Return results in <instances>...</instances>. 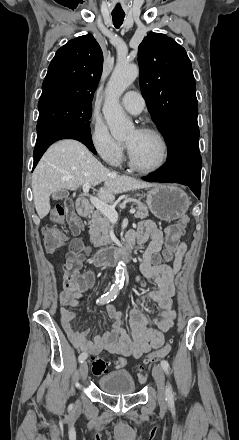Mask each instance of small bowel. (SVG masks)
Wrapping results in <instances>:
<instances>
[{"mask_svg": "<svg viewBox=\"0 0 239 440\" xmlns=\"http://www.w3.org/2000/svg\"><path fill=\"white\" fill-rule=\"evenodd\" d=\"M127 242L132 245L148 242L140 264V272L157 286L156 290L149 291L137 299V307L130 312L129 317L130 335L123 328V314L113 307L107 309L112 320L111 330L96 336L94 340L88 339V330H80L73 324L76 314L67 307L79 304L82 292L88 286L89 274L75 281L64 274L59 292L61 322L74 346L87 355H97L103 350L120 355L116 361L117 368L124 367L121 362H126L127 357L139 359L164 344V333L173 327L176 319L173 303L176 293L174 279L182 267L187 250L186 243L180 242L172 256H163L167 261L173 260L172 265L153 264V260H159L157 254L162 249L164 237L157 224L151 220L140 221L137 228L127 234ZM145 300H151L160 309L152 319H148L140 309Z\"/></svg>", "mask_w": 239, "mask_h": 440, "instance_id": "obj_1", "label": "small bowel"}]
</instances>
